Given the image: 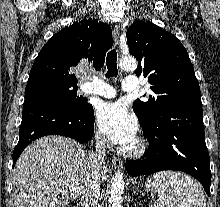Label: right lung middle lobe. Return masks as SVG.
Here are the masks:
<instances>
[{
  "mask_svg": "<svg viewBox=\"0 0 220 207\" xmlns=\"http://www.w3.org/2000/svg\"><path fill=\"white\" fill-rule=\"evenodd\" d=\"M28 89H40L52 92L75 109L84 108L88 104L83 97L76 95L77 86L73 84H67L57 80H40L32 84H27L26 90Z\"/></svg>",
  "mask_w": 220,
  "mask_h": 207,
  "instance_id": "right-lung-middle-lobe-1",
  "label": "right lung middle lobe"
}]
</instances>
